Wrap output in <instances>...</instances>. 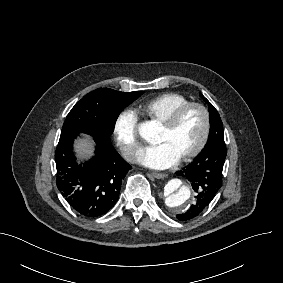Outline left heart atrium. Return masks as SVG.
Segmentation results:
<instances>
[{
  "instance_id": "obj_1",
  "label": "left heart atrium",
  "mask_w": 283,
  "mask_h": 283,
  "mask_svg": "<svg viewBox=\"0 0 283 283\" xmlns=\"http://www.w3.org/2000/svg\"><path fill=\"white\" fill-rule=\"evenodd\" d=\"M179 159L180 157L166 143L144 147L138 152L136 158L139 165L153 170L169 168Z\"/></svg>"
}]
</instances>
